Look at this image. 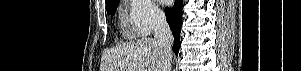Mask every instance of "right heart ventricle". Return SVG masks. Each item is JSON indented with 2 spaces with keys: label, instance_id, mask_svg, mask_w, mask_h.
I'll use <instances>...</instances> for the list:
<instances>
[{
  "label": "right heart ventricle",
  "instance_id": "1",
  "mask_svg": "<svg viewBox=\"0 0 301 71\" xmlns=\"http://www.w3.org/2000/svg\"><path fill=\"white\" fill-rule=\"evenodd\" d=\"M123 26H125V27H126V24H125V23H123Z\"/></svg>",
  "mask_w": 301,
  "mask_h": 71
}]
</instances>
